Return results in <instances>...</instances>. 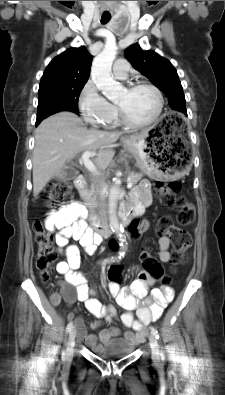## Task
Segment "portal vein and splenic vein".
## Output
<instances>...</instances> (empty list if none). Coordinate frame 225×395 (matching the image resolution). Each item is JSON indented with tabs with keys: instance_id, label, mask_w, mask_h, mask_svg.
Here are the masks:
<instances>
[{
	"instance_id": "obj_1",
	"label": "portal vein and splenic vein",
	"mask_w": 225,
	"mask_h": 395,
	"mask_svg": "<svg viewBox=\"0 0 225 395\" xmlns=\"http://www.w3.org/2000/svg\"><path fill=\"white\" fill-rule=\"evenodd\" d=\"M95 154H96L95 152H90V151L84 152V153L82 154L81 159H82V161H83L84 166H85L90 172H92L93 174H98L96 166H95V165L93 164V162L90 160V157L95 156ZM132 186H133V183H132L130 180H128L127 188H131Z\"/></svg>"
}]
</instances>
